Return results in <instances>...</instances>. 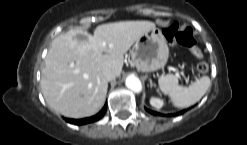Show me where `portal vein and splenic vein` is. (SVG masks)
<instances>
[{"label":"portal vein and splenic vein","instance_id":"1","mask_svg":"<svg viewBox=\"0 0 247 145\" xmlns=\"http://www.w3.org/2000/svg\"><path fill=\"white\" fill-rule=\"evenodd\" d=\"M176 76H177L178 78H181V76H180V74H179L178 71L176 72Z\"/></svg>","mask_w":247,"mask_h":145}]
</instances>
